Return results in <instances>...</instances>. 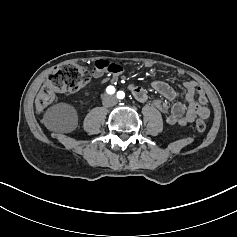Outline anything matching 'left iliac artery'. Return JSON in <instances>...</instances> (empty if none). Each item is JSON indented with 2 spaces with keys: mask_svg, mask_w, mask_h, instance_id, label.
Wrapping results in <instances>:
<instances>
[{
  "mask_svg": "<svg viewBox=\"0 0 237 237\" xmlns=\"http://www.w3.org/2000/svg\"><path fill=\"white\" fill-rule=\"evenodd\" d=\"M117 97H118L119 99H123V98L125 97V93H124L123 91H118V92H117Z\"/></svg>",
  "mask_w": 237,
  "mask_h": 237,
  "instance_id": "left-iliac-artery-1",
  "label": "left iliac artery"
}]
</instances>
